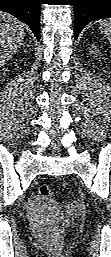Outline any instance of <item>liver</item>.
<instances>
[{
  "label": "liver",
  "instance_id": "obj_1",
  "mask_svg": "<svg viewBox=\"0 0 111 257\" xmlns=\"http://www.w3.org/2000/svg\"><path fill=\"white\" fill-rule=\"evenodd\" d=\"M24 25L10 14H0V63L3 66L20 48L24 39Z\"/></svg>",
  "mask_w": 111,
  "mask_h": 257
}]
</instances>
